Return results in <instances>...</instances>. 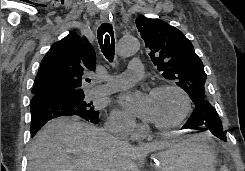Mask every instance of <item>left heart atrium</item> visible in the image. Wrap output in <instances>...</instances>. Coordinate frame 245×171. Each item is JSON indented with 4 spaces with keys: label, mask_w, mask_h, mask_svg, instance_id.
I'll return each instance as SVG.
<instances>
[{
    "label": "left heart atrium",
    "mask_w": 245,
    "mask_h": 171,
    "mask_svg": "<svg viewBox=\"0 0 245 171\" xmlns=\"http://www.w3.org/2000/svg\"><path fill=\"white\" fill-rule=\"evenodd\" d=\"M119 104L127 113L146 121L153 120L151 97L139 91L123 94L119 97Z\"/></svg>",
    "instance_id": "obj_1"
}]
</instances>
